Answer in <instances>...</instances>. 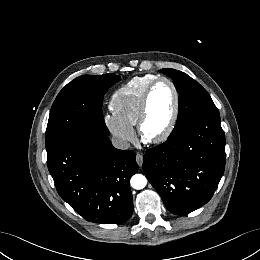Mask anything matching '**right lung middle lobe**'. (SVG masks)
Returning a JSON list of instances; mask_svg holds the SVG:
<instances>
[{"instance_id": "obj_1", "label": "right lung middle lobe", "mask_w": 260, "mask_h": 260, "mask_svg": "<svg viewBox=\"0 0 260 260\" xmlns=\"http://www.w3.org/2000/svg\"><path fill=\"white\" fill-rule=\"evenodd\" d=\"M120 80V76L115 74L83 75L60 91L48 120L47 156L77 134L91 131L109 135L102 113L103 96Z\"/></svg>"}]
</instances>
